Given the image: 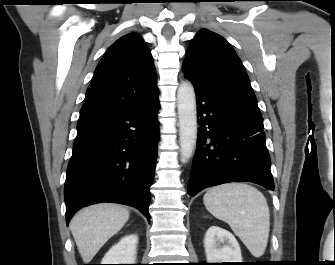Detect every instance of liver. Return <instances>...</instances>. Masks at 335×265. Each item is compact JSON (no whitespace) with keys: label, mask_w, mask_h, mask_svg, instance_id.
<instances>
[{"label":"liver","mask_w":335,"mask_h":265,"mask_svg":"<svg viewBox=\"0 0 335 265\" xmlns=\"http://www.w3.org/2000/svg\"><path fill=\"white\" fill-rule=\"evenodd\" d=\"M129 210L119 204L100 203L79 211L70 230L83 262H90L100 248L128 221Z\"/></svg>","instance_id":"1"}]
</instances>
